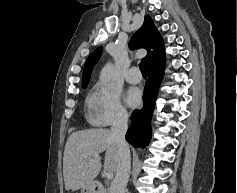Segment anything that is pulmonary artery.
<instances>
[{
	"mask_svg": "<svg viewBox=\"0 0 237 193\" xmlns=\"http://www.w3.org/2000/svg\"><path fill=\"white\" fill-rule=\"evenodd\" d=\"M126 80L129 83L132 84H137L140 83L142 80V75L139 72V69L137 67H132L131 69H129V71L127 72L126 76H125Z\"/></svg>",
	"mask_w": 237,
	"mask_h": 193,
	"instance_id": "1",
	"label": "pulmonary artery"
}]
</instances>
